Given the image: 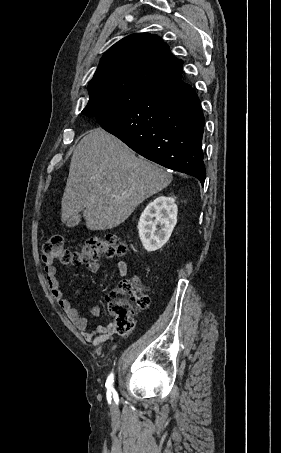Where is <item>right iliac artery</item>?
<instances>
[{
	"label": "right iliac artery",
	"instance_id": "obj_1",
	"mask_svg": "<svg viewBox=\"0 0 281 453\" xmlns=\"http://www.w3.org/2000/svg\"><path fill=\"white\" fill-rule=\"evenodd\" d=\"M113 379H114V375L111 373V374L108 376L107 381H106V384H105V386H106V388H107V391H113V390H114V388H113V386H112V383L114 382Z\"/></svg>",
	"mask_w": 281,
	"mask_h": 453
}]
</instances>
